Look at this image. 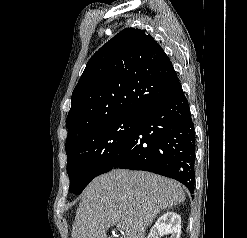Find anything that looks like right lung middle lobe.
Listing matches in <instances>:
<instances>
[{
	"mask_svg": "<svg viewBox=\"0 0 247 238\" xmlns=\"http://www.w3.org/2000/svg\"><path fill=\"white\" fill-rule=\"evenodd\" d=\"M139 116L128 114L104 122L66 145L70 192L80 194L93 178L112 169Z\"/></svg>",
	"mask_w": 247,
	"mask_h": 238,
	"instance_id": "obj_1",
	"label": "right lung middle lobe"
}]
</instances>
